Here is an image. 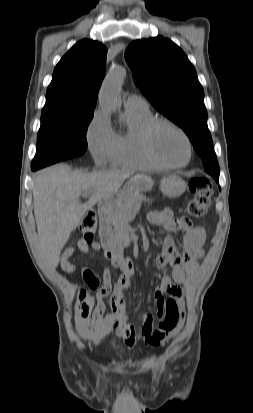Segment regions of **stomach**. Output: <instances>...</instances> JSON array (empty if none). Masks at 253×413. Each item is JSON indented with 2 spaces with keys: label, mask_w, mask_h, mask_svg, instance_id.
Masks as SVG:
<instances>
[{
  "label": "stomach",
  "mask_w": 253,
  "mask_h": 413,
  "mask_svg": "<svg viewBox=\"0 0 253 413\" xmlns=\"http://www.w3.org/2000/svg\"><path fill=\"white\" fill-rule=\"evenodd\" d=\"M152 187L153 181L150 177L144 174L135 175L128 181L122 190L105 199V203L109 206H116L127 196L149 191ZM160 190L169 198H177L185 192L186 183L179 176L170 175L161 180Z\"/></svg>",
  "instance_id": "stomach-1"
}]
</instances>
